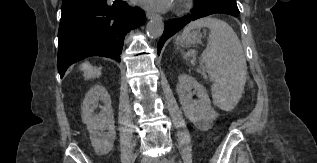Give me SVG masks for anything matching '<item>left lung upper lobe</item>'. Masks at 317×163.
Segmentation results:
<instances>
[{"label":"left lung upper lobe","instance_id":"5c2ea615","mask_svg":"<svg viewBox=\"0 0 317 163\" xmlns=\"http://www.w3.org/2000/svg\"><path fill=\"white\" fill-rule=\"evenodd\" d=\"M204 7L221 8L234 13H239L236 0H200Z\"/></svg>","mask_w":317,"mask_h":163}]
</instances>
